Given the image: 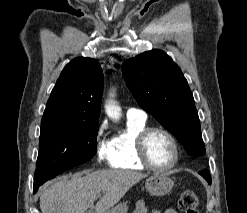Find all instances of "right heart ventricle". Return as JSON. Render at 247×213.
Wrapping results in <instances>:
<instances>
[{"instance_id":"obj_1","label":"right heart ventricle","mask_w":247,"mask_h":213,"mask_svg":"<svg viewBox=\"0 0 247 213\" xmlns=\"http://www.w3.org/2000/svg\"><path fill=\"white\" fill-rule=\"evenodd\" d=\"M146 127V120L127 119L125 129L113 136L109 142L111 167L133 171L144 169L136 157L135 140L138 133Z\"/></svg>"}]
</instances>
